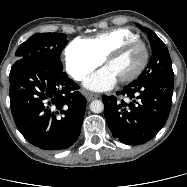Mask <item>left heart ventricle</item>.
Listing matches in <instances>:
<instances>
[{"mask_svg": "<svg viewBox=\"0 0 187 187\" xmlns=\"http://www.w3.org/2000/svg\"><path fill=\"white\" fill-rule=\"evenodd\" d=\"M145 51L142 45L136 44L129 47L122 55L111 59L107 66L114 72L118 79L132 74L142 63Z\"/></svg>", "mask_w": 187, "mask_h": 187, "instance_id": "b2bd125f", "label": "left heart ventricle"}]
</instances>
